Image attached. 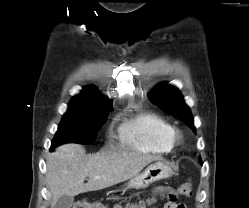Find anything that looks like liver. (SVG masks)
<instances>
[{"mask_svg":"<svg viewBox=\"0 0 249 208\" xmlns=\"http://www.w3.org/2000/svg\"><path fill=\"white\" fill-rule=\"evenodd\" d=\"M160 159L148 154L108 151L86 155L79 144L61 145L47 158L46 181L52 195L51 208L63 195L73 197L116 185L132 179L149 163Z\"/></svg>","mask_w":249,"mask_h":208,"instance_id":"obj_1","label":"liver"}]
</instances>
